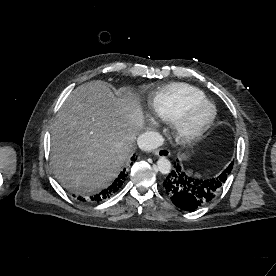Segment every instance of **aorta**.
I'll use <instances>...</instances> for the list:
<instances>
[{
	"instance_id": "762f6f07",
	"label": "aorta",
	"mask_w": 276,
	"mask_h": 276,
	"mask_svg": "<svg viewBox=\"0 0 276 276\" xmlns=\"http://www.w3.org/2000/svg\"><path fill=\"white\" fill-rule=\"evenodd\" d=\"M157 167L160 173L168 174L171 171V162L167 158L161 157L157 161Z\"/></svg>"
}]
</instances>
